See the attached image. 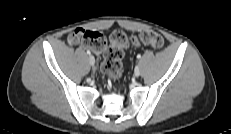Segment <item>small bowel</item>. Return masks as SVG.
I'll use <instances>...</instances> for the list:
<instances>
[{
  "label": "small bowel",
  "instance_id": "c3829d8e",
  "mask_svg": "<svg viewBox=\"0 0 231 134\" xmlns=\"http://www.w3.org/2000/svg\"><path fill=\"white\" fill-rule=\"evenodd\" d=\"M67 41H68V44H69V45H74V44H78V43H79L78 41H76V40L74 39V32L71 33V34L68 36Z\"/></svg>",
  "mask_w": 231,
  "mask_h": 134
}]
</instances>
